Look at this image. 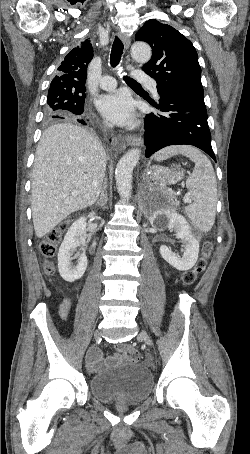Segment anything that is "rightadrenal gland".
Masks as SVG:
<instances>
[{
  "label": "right adrenal gland",
  "instance_id": "2a0ac1e0",
  "mask_svg": "<svg viewBox=\"0 0 250 454\" xmlns=\"http://www.w3.org/2000/svg\"><path fill=\"white\" fill-rule=\"evenodd\" d=\"M108 195H107V183L104 181L102 188H101V194L99 199L96 202L97 206H101L102 208L105 207L107 203Z\"/></svg>",
  "mask_w": 250,
  "mask_h": 454
}]
</instances>
